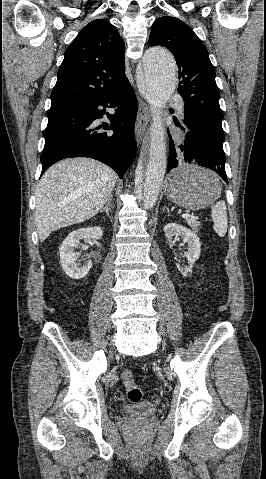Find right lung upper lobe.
Returning <instances> with one entry per match:
<instances>
[{"instance_id":"right-lung-upper-lobe-1","label":"right lung upper lobe","mask_w":266,"mask_h":479,"mask_svg":"<svg viewBox=\"0 0 266 479\" xmlns=\"http://www.w3.org/2000/svg\"><path fill=\"white\" fill-rule=\"evenodd\" d=\"M124 52L122 38L107 19L87 24L65 51L51 103L89 98L127 84Z\"/></svg>"}]
</instances>
